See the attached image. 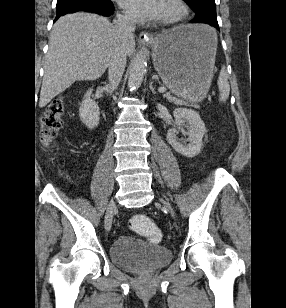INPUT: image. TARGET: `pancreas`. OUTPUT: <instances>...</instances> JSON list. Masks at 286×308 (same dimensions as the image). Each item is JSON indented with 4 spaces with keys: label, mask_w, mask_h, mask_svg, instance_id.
Segmentation results:
<instances>
[{
    "label": "pancreas",
    "mask_w": 286,
    "mask_h": 308,
    "mask_svg": "<svg viewBox=\"0 0 286 308\" xmlns=\"http://www.w3.org/2000/svg\"><path fill=\"white\" fill-rule=\"evenodd\" d=\"M165 96H166L168 99H172L171 96H170V94H166Z\"/></svg>",
    "instance_id": "pancreas-1"
}]
</instances>
